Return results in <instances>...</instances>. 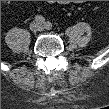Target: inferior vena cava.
Masks as SVG:
<instances>
[{"mask_svg":"<svg viewBox=\"0 0 109 109\" xmlns=\"http://www.w3.org/2000/svg\"><path fill=\"white\" fill-rule=\"evenodd\" d=\"M34 30H42L41 26L35 27Z\"/></svg>","mask_w":109,"mask_h":109,"instance_id":"602c4592","label":"inferior vena cava"}]
</instances>
